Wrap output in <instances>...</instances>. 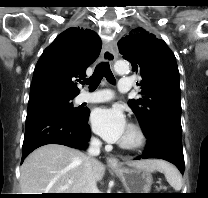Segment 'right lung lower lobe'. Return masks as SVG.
<instances>
[{"label": "right lung lower lobe", "instance_id": "obj_1", "mask_svg": "<svg viewBox=\"0 0 208 198\" xmlns=\"http://www.w3.org/2000/svg\"><path fill=\"white\" fill-rule=\"evenodd\" d=\"M90 112L82 117L63 112L37 113L26 118L25 136L22 146V161L36 148L46 144H61L85 149L90 139L87 123Z\"/></svg>", "mask_w": 208, "mask_h": 198}]
</instances>
